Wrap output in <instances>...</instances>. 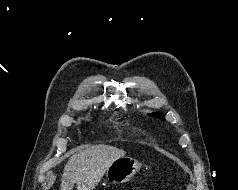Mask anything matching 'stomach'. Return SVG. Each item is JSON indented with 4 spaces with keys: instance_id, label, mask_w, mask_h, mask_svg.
<instances>
[{
    "instance_id": "obj_1",
    "label": "stomach",
    "mask_w": 238,
    "mask_h": 190,
    "mask_svg": "<svg viewBox=\"0 0 238 190\" xmlns=\"http://www.w3.org/2000/svg\"><path fill=\"white\" fill-rule=\"evenodd\" d=\"M141 168L132 157L124 156L115 160L106 171V178L113 184L129 181Z\"/></svg>"
}]
</instances>
